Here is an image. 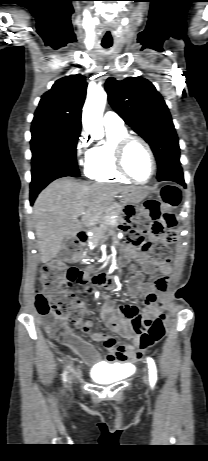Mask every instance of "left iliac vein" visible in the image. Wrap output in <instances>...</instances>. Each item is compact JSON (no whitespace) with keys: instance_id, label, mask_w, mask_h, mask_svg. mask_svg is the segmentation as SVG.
Instances as JSON below:
<instances>
[{"instance_id":"1","label":"left iliac vein","mask_w":208,"mask_h":461,"mask_svg":"<svg viewBox=\"0 0 208 461\" xmlns=\"http://www.w3.org/2000/svg\"><path fill=\"white\" fill-rule=\"evenodd\" d=\"M143 379H144V382L147 383V381H148V375H147L146 370H145V374H144V378H143Z\"/></svg>"}]
</instances>
